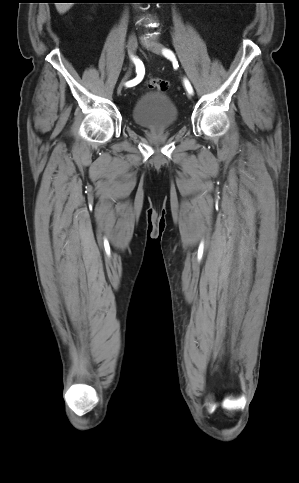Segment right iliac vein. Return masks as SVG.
Returning <instances> with one entry per match:
<instances>
[{
    "label": "right iliac vein",
    "mask_w": 299,
    "mask_h": 483,
    "mask_svg": "<svg viewBox=\"0 0 299 483\" xmlns=\"http://www.w3.org/2000/svg\"><path fill=\"white\" fill-rule=\"evenodd\" d=\"M128 50H129V53H130L131 56H135L136 50H137V39H136L135 35H133V34L130 35L129 39H128ZM128 77H129V74H127L124 77L122 83L118 87V90H117L118 93H121L122 88H123V83L128 79Z\"/></svg>",
    "instance_id": "obj_1"
}]
</instances>
